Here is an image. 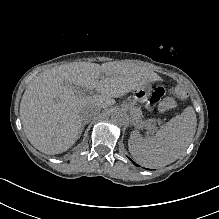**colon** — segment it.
I'll use <instances>...</instances> for the list:
<instances>
[{"mask_svg": "<svg viewBox=\"0 0 219 219\" xmlns=\"http://www.w3.org/2000/svg\"><path fill=\"white\" fill-rule=\"evenodd\" d=\"M187 96L186 91L180 85L172 86L169 89V96L165 97L160 105L159 108L161 111H169L173 109L176 105V100L185 99Z\"/></svg>", "mask_w": 219, "mask_h": 219, "instance_id": "colon-1", "label": "colon"}]
</instances>
